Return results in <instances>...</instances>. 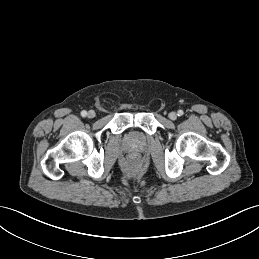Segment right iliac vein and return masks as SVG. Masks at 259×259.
<instances>
[{
    "mask_svg": "<svg viewBox=\"0 0 259 259\" xmlns=\"http://www.w3.org/2000/svg\"><path fill=\"white\" fill-rule=\"evenodd\" d=\"M88 118L92 119L96 116L95 112L93 110H90L87 114Z\"/></svg>",
    "mask_w": 259,
    "mask_h": 259,
    "instance_id": "obj_1",
    "label": "right iliac vein"
}]
</instances>
